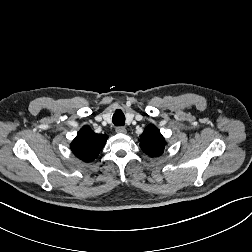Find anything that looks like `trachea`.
<instances>
[{"label": "trachea", "mask_w": 252, "mask_h": 252, "mask_svg": "<svg viewBox=\"0 0 252 252\" xmlns=\"http://www.w3.org/2000/svg\"><path fill=\"white\" fill-rule=\"evenodd\" d=\"M112 122L115 126H123L125 124V115L121 110H117L114 113Z\"/></svg>", "instance_id": "3493384b"}]
</instances>
